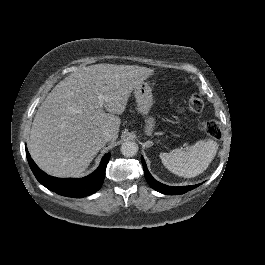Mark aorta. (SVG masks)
Segmentation results:
<instances>
[{
    "instance_id": "obj_1",
    "label": "aorta",
    "mask_w": 265,
    "mask_h": 265,
    "mask_svg": "<svg viewBox=\"0 0 265 265\" xmlns=\"http://www.w3.org/2000/svg\"><path fill=\"white\" fill-rule=\"evenodd\" d=\"M138 152V144L133 141H125L121 146V153L126 157L135 156Z\"/></svg>"
}]
</instances>
